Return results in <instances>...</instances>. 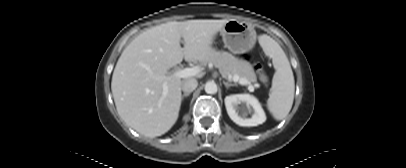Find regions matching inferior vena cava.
Wrapping results in <instances>:
<instances>
[{"mask_svg":"<svg viewBox=\"0 0 406 168\" xmlns=\"http://www.w3.org/2000/svg\"><path fill=\"white\" fill-rule=\"evenodd\" d=\"M198 86V82L196 79L191 78L182 82V91L184 93H191L193 92Z\"/></svg>","mask_w":406,"mask_h":168,"instance_id":"602c4592","label":"inferior vena cava"}]
</instances>
